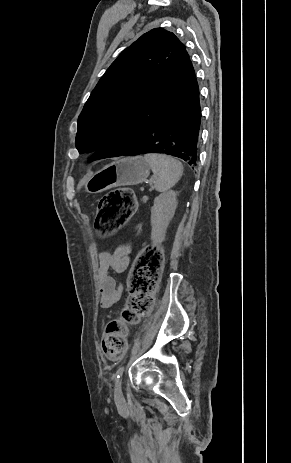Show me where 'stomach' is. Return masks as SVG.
Returning <instances> with one entry per match:
<instances>
[{"label":"stomach","mask_w":291,"mask_h":463,"mask_svg":"<svg viewBox=\"0 0 291 463\" xmlns=\"http://www.w3.org/2000/svg\"><path fill=\"white\" fill-rule=\"evenodd\" d=\"M149 176V164L141 156L127 157L110 163L86 178L85 189L100 193L118 186H131L144 182Z\"/></svg>","instance_id":"1"}]
</instances>
